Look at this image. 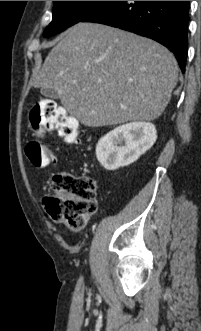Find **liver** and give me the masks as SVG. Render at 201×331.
Listing matches in <instances>:
<instances>
[{
	"mask_svg": "<svg viewBox=\"0 0 201 331\" xmlns=\"http://www.w3.org/2000/svg\"><path fill=\"white\" fill-rule=\"evenodd\" d=\"M178 66L161 44L110 26L69 28L34 75V87L55 89L83 125L152 121L165 110Z\"/></svg>",
	"mask_w": 201,
	"mask_h": 331,
	"instance_id": "1",
	"label": "liver"
}]
</instances>
